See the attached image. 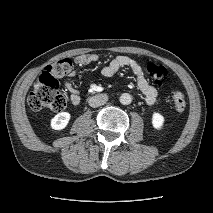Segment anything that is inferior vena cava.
<instances>
[{
	"label": "inferior vena cava",
	"mask_w": 213,
	"mask_h": 213,
	"mask_svg": "<svg viewBox=\"0 0 213 213\" xmlns=\"http://www.w3.org/2000/svg\"><path fill=\"white\" fill-rule=\"evenodd\" d=\"M107 101L108 96L106 94H98L88 99L89 105L94 108L104 105Z\"/></svg>",
	"instance_id": "1"
}]
</instances>
